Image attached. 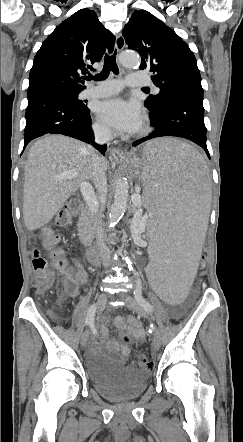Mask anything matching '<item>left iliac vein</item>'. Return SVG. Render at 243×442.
Returning a JSON list of instances; mask_svg holds the SVG:
<instances>
[{"mask_svg": "<svg viewBox=\"0 0 243 442\" xmlns=\"http://www.w3.org/2000/svg\"><path fill=\"white\" fill-rule=\"evenodd\" d=\"M123 299L126 301L127 305L132 309L133 312L144 318H147V314L144 311V309L138 304L136 299H134L131 295L125 293L123 295ZM160 345H161V334L159 330L155 328L153 332V348L155 350H158L160 348Z\"/></svg>", "mask_w": 243, "mask_h": 442, "instance_id": "4c4485c4", "label": "left iliac vein"}]
</instances>
